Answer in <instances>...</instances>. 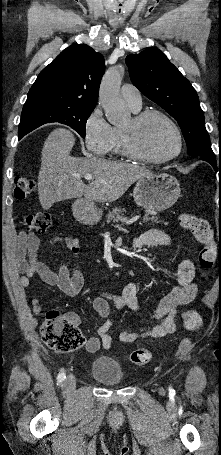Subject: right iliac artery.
<instances>
[{
    "instance_id": "1",
    "label": "right iliac artery",
    "mask_w": 221,
    "mask_h": 455,
    "mask_svg": "<svg viewBox=\"0 0 221 455\" xmlns=\"http://www.w3.org/2000/svg\"><path fill=\"white\" fill-rule=\"evenodd\" d=\"M65 378H66L65 372L63 369H61L57 376V384H61L65 380Z\"/></svg>"
}]
</instances>
